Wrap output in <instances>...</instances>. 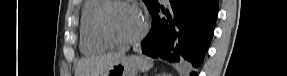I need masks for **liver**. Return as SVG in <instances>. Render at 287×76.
Here are the masks:
<instances>
[{"instance_id": "liver-1", "label": "liver", "mask_w": 287, "mask_h": 76, "mask_svg": "<svg viewBox=\"0 0 287 76\" xmlns=\"http://www.w3.org/2000/svg\"><path fill=\"white\" fill-rule=\"evenodd\" d=\"M122 56L123 53H113L83 58L77 64L75 76H103Z\"/></svg>"}]
</instances>
